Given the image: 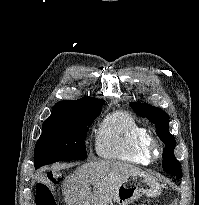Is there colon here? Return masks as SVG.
<instances>
[{
	"instance_id": "5ec220e1",
	"label": "colon",
	"mask_w": 199,
	"mask_h": 205,
	"mask_svg": "<svg viewBox=\"0 0 199 205\" xmlns=\"http://www.w3.org/2000/svg\"><path fill=\"white\" fill-rule=\"evenodd\" d=\"M47 183L40 182L37 184L36 201L37 205H56L50 184L57 181L53 174L46 177Z\"/></svg>"
}]
</instances>
